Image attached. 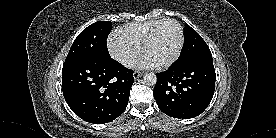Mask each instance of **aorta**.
<instances>
[{"label": "aorta", "instance_id": "762f6f07", "mask_svg": "<svg viewBox=\"0 0 276 138\" xmlns=\"http://www.w3.org/2000/svg\"><path fill=\"white\" fill-rule=\"evenodd\" d=\"M143 82L145 85L148 86H154L157 82V77L154 73L150 72V73H146L143 76Z\"/></svg>", "mask_w": 276, "mask_h": 138}]
</instances>
